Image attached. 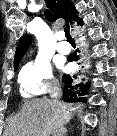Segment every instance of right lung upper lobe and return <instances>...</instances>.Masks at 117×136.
<instances>
[{
	"label": "right lung upper lobe",
	"instance_id": "obj_1",
	"mask_svg": "<svg viewBox=\"0 0 117 136\" xmlns=\"http://www.w3.org/2000/svg\"><path fill=\"white\" fill-rule=\"evenodd\" d=\"M45 3L47 6L45 16L49 21L63 18L68 26L72 25L74 20L83 25L81 18L77 16V10L70 0H45ZM31 42L32 37L30 35H24L20 39L15 52L14 68L18 67Z\"/></svg>",
	"mask_w": 117,
	"mask_h": 136
}]
</instances>
